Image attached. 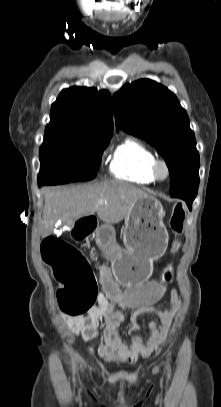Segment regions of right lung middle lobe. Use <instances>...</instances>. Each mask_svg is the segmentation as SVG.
Returning <instances> with one entry per match:
<instances>
[{
  "mask_svg": "<svg viewBox=\"0 0 221 407\" xmlns=\"http://www.w3.org/2000/svg\"><path fill=\"white\" fill-rule=\"evenodd\" d=\"M108 144L68 136H44L39 151L38 183L54 185L93 179Z\"/></svg>",
  "mask_w": 221,
  "mask_h": 407,
  "instance_id": "right-lung-middle-lobe-1",
  "label": "right lung middle lobe"
}]
</instances>
